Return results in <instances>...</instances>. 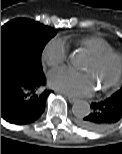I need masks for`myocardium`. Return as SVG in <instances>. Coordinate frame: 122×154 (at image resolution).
I'll return each mask as SVG.
<instances>
[{"instance_id": "1", "label": "myocardium", "mask_w": 122, "mask_h": 154, "mask_svg": "<svg viewBox=\"0 0 122 154\" xmlns=\"http://www.w3.org/2000/svg\"><path fill=\"white\" fill-rule=\"evenodd\" d=\"M90 59L96 66H103L111 60L116 64L114 75L109 81L100 86L101 91H106L119 84L122 80V54L116 51H109L99 55H93Z\"/></svg>"}]
</instances>
